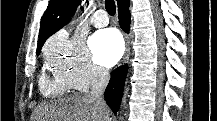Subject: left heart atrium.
Segmentation results:
<instances>
[{
	"label": "left heart atrium",
	"mask_w": 217,
	"mask_h": 121,
	"mask_svg": "<svg viewBox=\"0 0 217 121\" xmlns=\"http://www.w3.org/2000/svg\"><path fill=\"white\" fill-rule=\"evenodd\" d=\"M90 48L97 62L110 67L120 59L123 53V41L116 30L105 29L91 37Z\"/></svg>",
	"instance_id": "1"
}]
</instances>
